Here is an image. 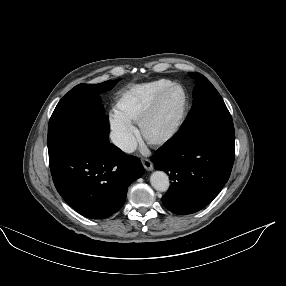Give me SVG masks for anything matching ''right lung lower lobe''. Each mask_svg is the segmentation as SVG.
Returning a JSON list of instances; mask_svg holds the SVG:
<instances>
[{
  "instance_id": "obj_1",
  "label": "right lung lower lobe",
  "mask_w": 286,
  "mask_h": 286,
  "mask_svg": "<svg viewBox=\"0 0 286 286\" xmlns=\"http://www.w3.org/2000/svg\"><path fill=\"white\" fill-rule=\"evenodd\" d=\"M111 145L106 151L92 141L79 139L49 152L58 193L90 219L108 218L117 212L125 202L128 186L144 173L137 157Z\"/></svg>"
}]
</instances>
